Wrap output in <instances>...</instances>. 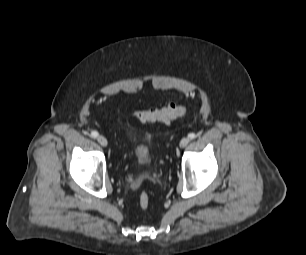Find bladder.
I'll return each instance as SVG.
<instances>
[{
	"mask_svg": "<svg viewBox=\"0 0 306 255\" xmlns=\"http://www.w3.org/2000/svg\"><path fill=\"white\" fill-rule=\"evenodd\" d=\"M152 156L146 144H139L134 151V161L138 166H146L151 163Z\"/></svg>",
	"mask_w": 306,
	"mask_h": 255,
	"instance_id": "bladder-1",
	"label": "bladder"
}]
</instances>
